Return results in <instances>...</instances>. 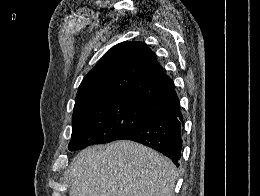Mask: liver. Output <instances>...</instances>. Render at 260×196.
I'll return each instance as SVG.
<instances>
[{
	"label": "liver",
	"instance_id": "1",
	"mask_svg": "<svg viewBox=\"0 0 260 196\" xmlns=\"http://www.w3.org/2000/svg\"><path fill=\"white\" fill-rule=\"evenodd\" d=\"M70 196H173L171 160L130 140L89 146L74 158Z\"/></svg>",
	"mask_w": 260,
	"mask_h": 196
}]
</instances>
